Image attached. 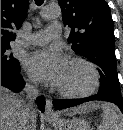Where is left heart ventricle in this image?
<instances>
[{"mask_svg":"<svg viewBox=\"0 0 123 130\" xmlns=\"http://www.w3.org/2000/svg\"><path fill=\"white\" fill-rule=\"evenodd\" d=\"M91 80L92 76L87 68L68 63L57 86L66 90L81 91L89 87Z\"/></svg>","mask_w":123,"mask_h":130,"instance_id":"1","label":"left heart ventricle"}]
</instances>
